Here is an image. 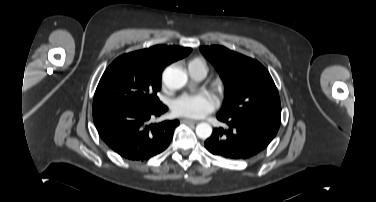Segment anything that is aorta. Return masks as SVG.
<instances>
[{"instance_id":"aorta-1","label":"aorta","mask_w":376,"mask_h":202,"mask_svg":"<svg viewBox=\"0 0 376 202\" xmlns=\"http://www.w3.org/2000/svg\"><path fill=\"white\" fill-rule=\"evenodd\" d=\"M162 79L169 89H180L184 87L188 81L187 74L179 67L169 66L163 72ZM196 134L201 139H207L212 134L210 124L202 122L196 126Z\"/></svg>"}]
</instances>
